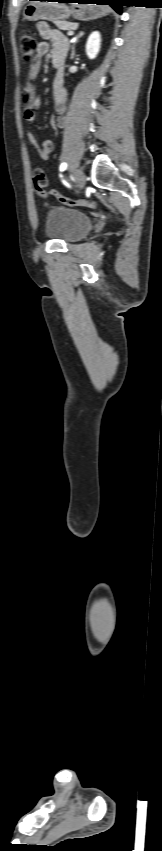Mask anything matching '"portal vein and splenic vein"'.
Here are the masks:
<instances>
[{"mask_svg":"<svg viewBox=\"0 0 162 851\" xmlns=\"http://www.w3.org/2000/svg\"><path fill=\"white\" fill-rule=\"evenodd\" d=\"M73 34H74V32H73V31H69V32L67 33V35H68V36H72Z\"/></svg>","mask_w":162,"mask_h":851,"instance_id":"portal-vein-and-splenic-vein-1","label":"portal vein and splenic vein"}]
</instances>
